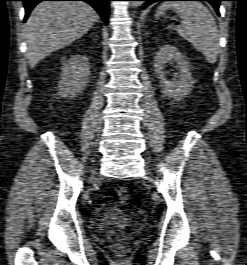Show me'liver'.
<instances>
[{
	"instance_id": "obj_1",
	"label": "liver",
	"mask_w": 247,
	"mask_h": 265,
	"mask_svg": "<svg viewBox=\"0 0 247 265\" xmlns=\"http://www.w3.org/2000/svg\"><path fill=\"white\" fill-rule=\"evenodd\" d=\"M99 15L81 1H46L39 3L25 24L27 58L31 68L49 54L87 33Z\"/></svg>"
}]
</instances>
